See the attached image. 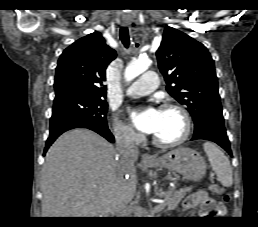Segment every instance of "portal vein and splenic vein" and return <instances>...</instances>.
I'll use <instances>...</instances> for the list:
<instances>
[{
	"label": "portal vein and splenic vein",
	"mask_w": 258,
	"mask_h": 227,
	"mask_svg": "<svg viewBox=\"0 0 258 227\" xmlns=\"http://www.w3.org/2000/svg\"><path fill=\"white\" fill-rule=\"evenodd\" d=\"M172 192H173V189H171V190H169L167 193H165V196H164L165 200L168 199V197L170 196V194H171ZM166 202H167V201H166ZM166 202H161V203L157 204V205L154 207V210H155V211L162 210V209L165 207V203H166ZM139 209H141V208H139Z\"/></svg>",
	"instance_id": "obj_1"
}]
</instances>
